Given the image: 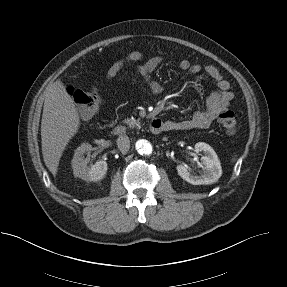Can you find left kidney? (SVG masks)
<instances>
[{"mask_svg":"<svg viewBox=\"0 0 287 287\" xmlns=\"http://www.w3.org/2000/svg\"><path fill=\"white\" fill-rule=\"evenodd\" d=\"M194 148L196 153H204V156L201 157L202 164L204 165L203 174L200 176L193 175L188 166L178 165V175L193 185H210L217 182L222 176V168L216 152L210 145L204 142L196 143Z\"/></svg>","mask_w":287,"mask_h":287,"instance_id":"1","label":"left kidney"}]
</instances>
